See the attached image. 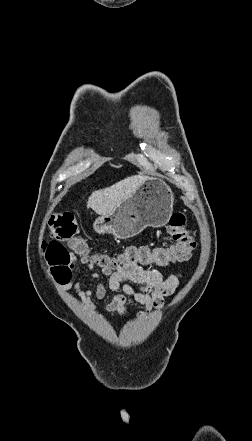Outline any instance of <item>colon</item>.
I'll list each match as a JSON object with an SVG mask.
<instances>
[{
    "label": "colon",
    "instance_id": "5ec220e1",
    "mask_svg": "<svg viewBox=\"0 0 252 441\" xmlns=\"http://www.w3.org/2000/svg\"><path fill=\"white\" fill-rule=\"evenodd\" d=\"M50 229L55 239L43 243L42 250L51 274L58 281L68 277L73 255L88 256L101 267L168 266L188 260L196 247L194 235L186 228V218L181 213L173 214L169 220L168 233L173 240L170 245L129 246L115 257L91 255L86 240L77 236V225L71 214H54L50 218ZM64 241H68V245Z\"/></svg>",
    "mask_w": 252,
    "mask_h": 441
}]
</instances>
